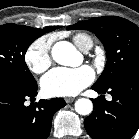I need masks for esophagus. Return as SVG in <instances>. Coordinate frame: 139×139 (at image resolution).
<instances>
[{
    "label": "esophagus",
    "mask_w": 139,
    "mask_h": 139,
    "mask_svg": "<svg viewBox=\"0 0 139 139\" xmlns=\"http://www.w3.org/2000/svg\"><path fill=\"white\" fill-rule=\"evenodd\" d=\"M74 100H75V98H73V97H67V98H65L66 103H71Z\"/></svg>",
    "instance_id": "esophagus-1"
}]
</instances>
